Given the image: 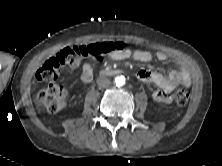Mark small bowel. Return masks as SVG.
Wrapping results in <instances>:
<instances>
[{
  "mask_svg": "<svg viewBox=\"0 0 222 166\" xmlns=\"http://www.w3.org/2000/svg\"><path fill=\"white\" fill-rule=\"evenodd\" d=\"M113 60L134 59L140 62H150L153 59V54L146 50H130L123 48L115 51L109 56ZM156 58L159 61H167L168 56L164 52H158ZM93 78V69L89 62L82 65L80 79L83 83H89ZM137 78L146 83H152L157 86L153 92V99L161 103H171V93L179 86L189 87L191 85V77L188 70L179 65L177 69L172 70L168 76L160 73L142 69L138 71Z\"/></svg>",
  "mask_w": 222,
  "mask_h": 166,
  "instance_id": "small-bowel-1",
  "label": "small bowel"
}]
</instances>
